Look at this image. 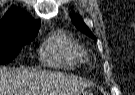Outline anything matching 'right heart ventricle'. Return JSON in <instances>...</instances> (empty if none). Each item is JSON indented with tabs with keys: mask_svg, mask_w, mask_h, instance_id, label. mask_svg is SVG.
<instances>
[{
	"mask_svg": "<svg viewBox=\"0 0 135 95\" xmlns=\"http://www.w3.org/2000/svg\"><path fill=\"white\" fill-rule=\"evenodd\" d=\"M41 61L54 67H75L86 62L85 51L67 32L59 30L41 45Z\"/></svg>",
	"mask_w": 135,
	"mask_h": 95,
	"instance_id": "e07e8e85",
	"label": "right heart ventricle"
}]
</instances>
